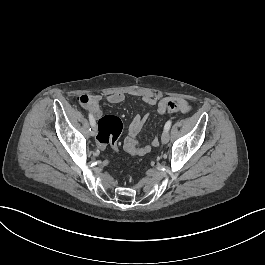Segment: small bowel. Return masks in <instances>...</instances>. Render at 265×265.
Here are the masks:
<instances>
[{
	"mask_svg": "<svg viewBox=\"0 0 265 265\" xmlns=\"http://www.w3.org/2000/svg\"><path fill=\"white\" fill-rule=\"evenodd\" d=\"M89 96V95H88ZM169 99H173L171 97H163V98H157L150 94H144L142 96V101L154 108L155 112L159 115H164L166 113L165 111V104ZM89 100V99H88ZM102 100H105L110 105H118L125 101V95L122 92H114L111 93L105 97L101 95H90L89 102L87 101L86 108L87 110L93 114L95 117L100 115V102ZM178 101L180 107L182 108V113L186 114L191 111V105L189 102L182 98L174 99ZM148 120V115H144L142 117H136L128 130L127 137L124 141V148L125 150L134 156H143L148 154L153 147H157L159 145V139L158 137L154 136L149 145H140L137 142V135L140 132V130L143 128V126L146 124Z\"/></svg>",
	"mask_w": 265,
	"mask_h": 265,
	"instance_id": "small-bowel-1",
	"label": "small bowel"
}]
</instances>
